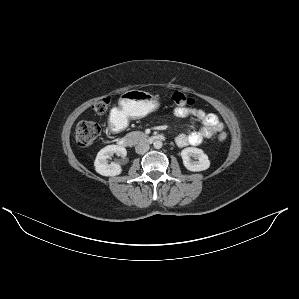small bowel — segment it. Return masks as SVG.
Returning a JSON list of instances; mask_svg holds the SVG:
<instances>
[{"label":"small bowel","instance_id":"small-bowel-1","mask_svg":"<svg viewBox=\"0 0 299 299\" xmlns=\"http://www.w3.org/2000/svg\"><path fill=\"white\" fill-rule=\"evenodd\" d=\"M174 115L180 118L193 117L202 124V128L198 131L179 134L176 138L179 147L200 145L204 140L223 132L225 128L223 121L217 115L206 113L201 109L177 107L174 109Z\"/></svg>","mask_w":299,"mask_h":299}]
</instances>
